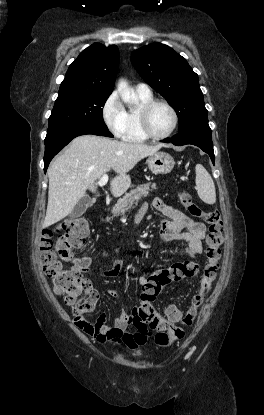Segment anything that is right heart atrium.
I'll return each instance as SVG.
<instances>
[{"mask_svg": "<svg viewBox=\"0 0 264 415\" xmlns=\"http://www.w3.org/2000/svg\"><path fill=\"white\" fill-rule=\"evenodd\" d=\"M102 116L108 128L121 136L126 126V110L117 92H112L102 106Z\"/></svg>", "mask_w": 264, "mask_h": 415, "instance_id": "right-heart-atrium-1", "label": "right heart atrium"}]
</instances>
